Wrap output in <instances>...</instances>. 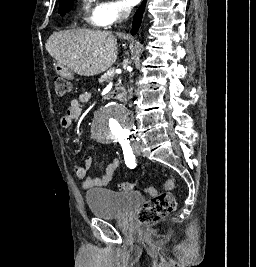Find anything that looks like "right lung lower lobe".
<instances>
[{"mask_svg":"<svg viewBox=\"0 0 256 267\" xmlns=\"http://www.w3.org/2000/svg\"><path fill=\"white\" fill-rule=\"evenodd\" d=\"M145 5H146V0H144L141 4V6L139 7V9L137 10V12L134 15V19H133V28L131 30V34L135 35L140 27L141 24V20L143 17V12L145 9Z\"/></svg>","mask_w":256,"mask_h":267,"instance_id":"right-lung-lower-lobe-1","label":"right lung lower lobe"}]
</instances>
